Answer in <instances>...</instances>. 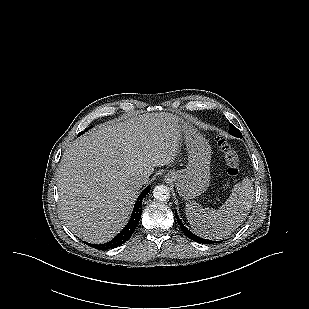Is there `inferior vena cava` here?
Instances as JSON below:
<instances>
[{
	"label": "inferior vena cava",
	"mask_w": 309,
	"mask_h": 309,
	"mask_svg": "<svg viewBox=\"0 0 309 309\" xmlns=\"http://www.w3.org/2000/svg\"><path fill=\"white\" fill-rule=\"evenodd\" d=\"M146 178L144 176H136L133 179V184L137 187H142V185L146 184Z\"/></svg>",
	"instance_id": "obj_1"
}]
</instances>
